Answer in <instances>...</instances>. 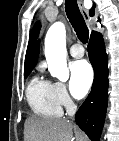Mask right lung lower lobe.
<instances>
[{"instance_id": "1", "label": "right lung lower lobe", "mask_w": 119, "mask_h": 141, "mask_svg": "<svg viewBox=\"0 0 119 141\" xmlns=\"http://www.w3.org/2000/svg\"><path fill=\"white\" fill-rule=\"evenodd\" d=\"M88 53L94 69V81L91 92L77 111L75 119L77 125L92 141H98L108 104V59L99 32L91 33Z\"/></svg>"}]
</instances>
